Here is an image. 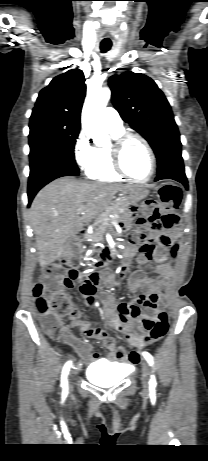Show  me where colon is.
<instances>
[{
	"label": "colon",
	"mask_w": 208,
	"mask_h": 461,
	"mask_svg": "<svg viewBox=\"0 0 208 461\" xmlns=\"http://www.w3.org/2000/svg\"><path fill=\"white\" fill-rule=\"evenodd\" d=\"M182 201V191L172 184H165L159 190V199H149L143 204L141 216L138 218L141 226L151 225L158 238V244L150 243L143 233L135 232L131 235V243L138 245L140 251H166L159 248L160 229H172L180 222L177 213ZM78 271L70 274L61 264H49L43 268L40 280L33 287L35 306L45 332L54 339L65 337L59 324V318L71 313L77 315L74 296L69 298L67 293L75 282L80 283ZM89 277V276H85ZM169 319L166 313H160L156 318L146 320V334L140 340H129L128 349L139 354L141 348L162 339L168 332Z\"/></svg>",
	"instance_id": "obj_1"
}]
</instances>
